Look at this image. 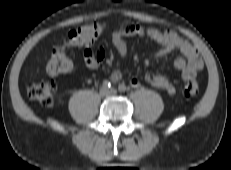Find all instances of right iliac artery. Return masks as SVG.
Returning <instances> with one entry per match:
<instances>
[{
	"label": "right iliac artery",
	"mask_w": 231,
	"mask_h": 170,
	"mask_svg": "<svg viewBox=\"0 0 231 170\" xmlns=\"http://www.w3.org/2000/svg\"><path fill=\"white\" fill-rule=\"evenodd\" d=\"M103 87L109 89V88H111V83L108 80H105L103 82Z\"/></svg>",
	"instance_id": "82829eb1"
}]
</instances>
